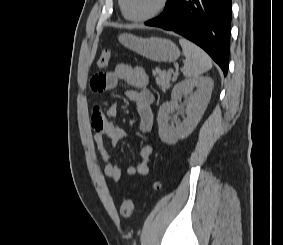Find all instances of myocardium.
Wrapping results in <instances>:
<instances>
[{
  "label": "myocardium",
  "instance_id": "obj_1",
  "mask_svg": "<svg viewBox=\"0 0 283 245\" xmlns=\"http://www.w3.org/2000/svg\"><path fill=\"white\" fill-rule=\"evenodd\" d=\"M168 1L169 0H160L155 10L141 17H132L127 14L126 9H125V4H124L125 0H119V5H120L121 12L125 19L132 21V22H145V21L151 20L157 17L158 15H160L167 7Z\"/></svg>",
  "mask_w": 283,
  "mask_h": 245
}]
</instances>
